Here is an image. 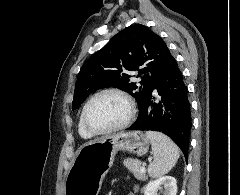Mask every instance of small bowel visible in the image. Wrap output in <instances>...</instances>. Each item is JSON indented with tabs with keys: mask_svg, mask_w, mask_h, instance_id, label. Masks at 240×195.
I'll return each instance as SVG.
<instances>
[{
	"mask_svg": "<svg viewBox=\"0 0 240 195\" xmlns=\"http://www.w3.org/2000/svg\"><path fill=\"white\" fill-rule=\"evenodd\" d=\"M130 195H135V192H131Z\"/></svg>",
	"mask_w": 240,
	"mask_h": 195,
	"instance_id": "small-bowel-1",
	"label": "small bowel"
}]
</instances>
